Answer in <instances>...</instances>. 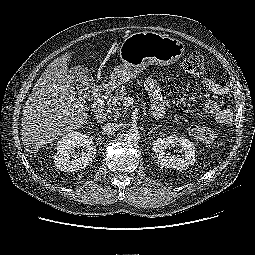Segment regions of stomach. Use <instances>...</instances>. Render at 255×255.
Here are the masks:
<instances>
[{
  "mask_svg": "<svg viewBox=\"0 0 255 255\" xmlns=\"http://www.w3.org/2000/svg\"><path fill=\"white\" fill-rule=\"evenodd\" d=\"M181 41L155 32H139L129 35L122 42L119 55L122 64L111 75L112 86H120L137 78L149 65L168 66L184 54Z\"/></svg>",
  "mask_w": 255,
  "mask_h": 255,
  "instance_id": "1",
  "label": "stomach"
}]
</instances>
